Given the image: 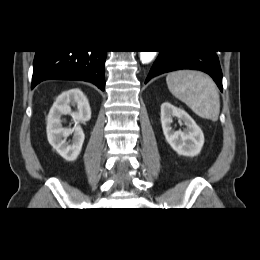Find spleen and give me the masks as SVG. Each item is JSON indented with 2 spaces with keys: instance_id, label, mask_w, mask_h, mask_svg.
<instances>
[{
  "instance_id": "obj_1",
  "label": "spleen",
  "mask_w": 260,
  "mask_h": 260,
  "mask_svg": "<svg viewBox=\"0 0 260 260\" xmlns=\"http://www.w3.org/2000/svg\"><path fill=\"white\" fill-rule=\"evenodd\" d=\"M169 91L195 114L213 122L220 113V97L214 81L199 71L180 70L167 75Z\"/></svg>"
}]
</instances>
